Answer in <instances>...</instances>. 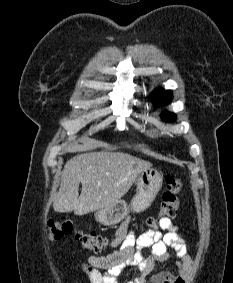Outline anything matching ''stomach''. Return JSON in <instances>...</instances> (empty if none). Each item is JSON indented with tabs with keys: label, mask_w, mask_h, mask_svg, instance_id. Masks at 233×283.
I'll return each mask as SVG.
<instances>
[{
	"label": "stomach",
	"mask_w": 233,
	"mask_h": 283,
	"mask_svg": "<svg viewBox=\"0 0 233 283\" xmlns=\"http://www.w3.org/2000/svg\"><path fill=\"white\" fill-rule=\"evenodd\" d=\"M163 177L156 169L149 167L142 170L136 181V194L130 205L124 200H119L115 204L99 209L95 213V218L103 225H115L121 222L129 213L142 212L146 210L162 187Z\"/></svg>",
	"instance_id": "obj_1"
}]
</instances>
